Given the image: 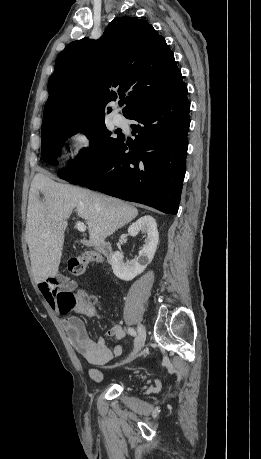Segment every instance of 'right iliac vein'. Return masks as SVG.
Here are the masks:
<instances>
[{
    "instance_id": "obj_1",
    "label": "right iliac vein",
    "mask_w": 261,
    "mask_h": 459,
    "mask_svg": "<svg viewBox=\"0 0 261 459\" xmlns=\"http://www.w3.org/2000/svg\"><path fill=\"white\" fill-rule=\"evenodd\" d=\"M145 339H146V329H145V326L142 325V324H139V325H138V336H137V338H136L134 351L132 352V354H131L123 363L131 362V361L135 358L136 354H137V353L142 349V347L144 346Z\"/></svg>"
}]
</instances>
